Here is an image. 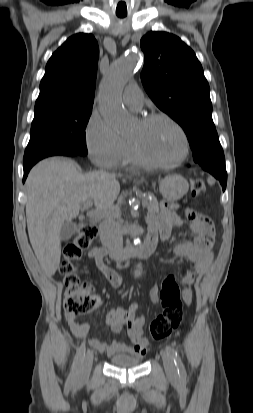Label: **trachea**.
Here are the masks:
<instances>
[{
    "mask_svg": "<svg viewBox=\"0 0 253 413\" xmlns=\"http://www.w3.org/2000/svg\"><path fill=\"white\" fill-rule=\"evenodd\" d=\"M117 16H118L119 18H124V17L126 16V14H117Z\"/></svg>",
    "mask_w": 253,
    "mask_h": 413,
    "instance_id": "obj_1",
    "label": "trachea"
}]
</instances>
